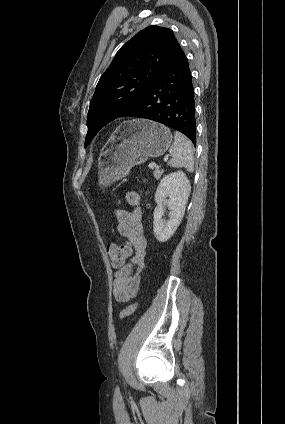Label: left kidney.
<instances>
[{"label":"left kidney","mask_w":285,"mask_h":424,"mask_svg":"<svg viewBox=\"0 0 285 424\" xmlns=\"http://www.w3.org/2000/svg\"><path fill=\"white\" fill-rule=\"evenodd\" d=\"M190 191V182L183 171L170 173L160 181L155 194L157 207L153 222L154 235L159 242H166L177 230L184 216ZM167 196L170 213L169 219L164 221L163 202Z\"/></svg>","instance_id":"5707ae66"}]
</instances>
